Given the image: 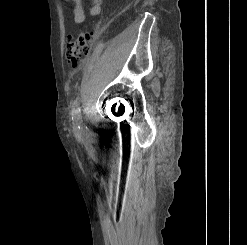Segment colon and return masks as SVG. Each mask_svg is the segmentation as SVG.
Returning a JSON list of instances; mask_svg holds the SVG:
<instances>
[{"label": "colon", "mask_w": 247, "mask_h": 245, "mask_svg": "<svg viewBox=\"0 0 247 245\" xmlns=\"http://www.w3.org/2000/svg\"><path fill=\"white\" fill-rule=\"evenodd\" d=\"M94 40L90 30L82 31L77 36L70 35L66 42L65 57L71 68H78L88 54Z\"/></svg>", "instance_id": "1"}]
</instances>
